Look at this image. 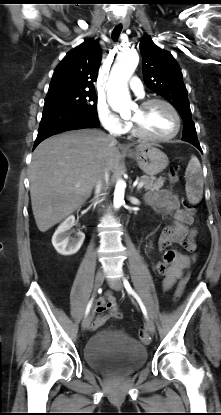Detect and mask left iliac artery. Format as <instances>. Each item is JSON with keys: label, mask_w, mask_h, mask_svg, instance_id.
Wrapping results in <instances>:
<instances>
[{"label": "left iliac artery", "mask_w": 221, "mask_h": 415, "mask_svg": "<svg viewBox=\"0 0 221 415\" xmlns=\"http://www.w3.org/2000/svg\"><path fill=\"white\" fill-rule=\"evenodd\" d=\"M123 283H124V287L126 289V291L128 292V294L132 295L137 302L139 303L141 310L143 312V314L145 315V317H147V310L142 302V300L140 299V297L137 295V293L132 289L130 283L128 282L127 279H123Z\"/></svg>", "instance_id": "obj_1"}]
</instances>
